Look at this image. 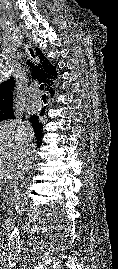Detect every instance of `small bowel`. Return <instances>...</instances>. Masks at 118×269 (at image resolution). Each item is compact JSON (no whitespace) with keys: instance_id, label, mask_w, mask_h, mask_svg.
Instances as JSON below:
<instances>
[{"instance_id":"c3829d8e","label":"small bowel","mask_w":118,"mask_h":269,"mask_svg":"<svg viewBox=\"0 0 118 269\" xmlns=\"http://www.w3.org/2000/svg\"><path fill=\"white\" fill-rule=\"evenodd\" d=\"M2 261V259L0 258V262ZM0 269H8L7 267H6V265H0Z\"/></svg>"}]
</instances>
